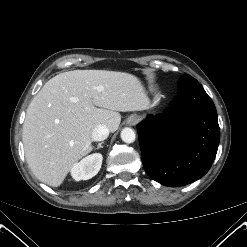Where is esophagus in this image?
Returning a JSON list of instances; mask_svg holds the SVG:
<instances>
[{
	"mask_svg": "<svg viewBox=\"0 0 247 247\" xmlns=\"http://www.w3.org/2000/svg\"><path fill=\"white\" fill-rule=\"evenodd\" d=\"M136 122V118L135 117H131L129 120L130 124H134Z\"/></svg>",
	"mask_w": 247,
	"mask_h": 247,
	"instance_id": "obj_1",
	"label": "esophagus"
}]
</instances>
